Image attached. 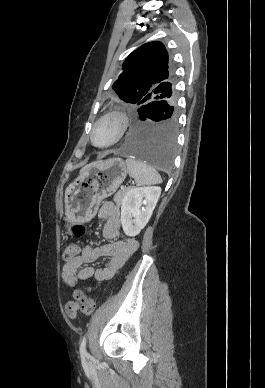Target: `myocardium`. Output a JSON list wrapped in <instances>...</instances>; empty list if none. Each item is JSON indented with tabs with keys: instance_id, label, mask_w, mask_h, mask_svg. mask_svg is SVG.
<instances>
[{
	"instance_id": "obj_1",
	"label": "myocardium",
	"mask_w": 265,
	"mask_h": 388,
	"mask_svg": "<svg viewBox=\"0 0 265 388\" xmlns=\"http://www.w3.org/2000/svg\"><path fill=\"white\" fill-rule=\"evenodd\" d=\"M111 121L113 124V137L110 141L98 145V147L106 148L115 145L118 143L124 136L126 128L128 126V118L126 114L120 111H109L98 119L93 130L97 129L100 125L105 122ZM93 130L90 133V138L92 140Z\"/></svg>"
}]
</instances>
